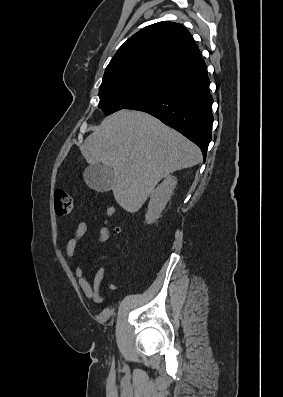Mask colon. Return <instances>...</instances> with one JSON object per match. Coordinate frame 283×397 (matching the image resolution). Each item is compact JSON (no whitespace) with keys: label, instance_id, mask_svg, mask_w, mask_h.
<instances>
[{"label":"colon","instance_id":"obj_1","mask_svg":"<svg viewBox=\"0 0 283 397\" xmlns=\"http://www.w3.org/2000/svg\"><path fill=\"white\" fill-rule=\"evenodd\" d=\"M54 206L58 215L69 214L73 209V200L70 194L64 189H56L54 192ZM113 210L108 209L107 215L112 216Z\"/></svg>","mask_w":283,"mask_h":397}]
</instances>
